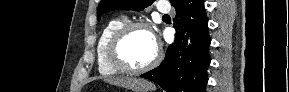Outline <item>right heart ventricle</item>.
<instances>
[{
  "label": "right heart ventricle",
  "mask_w": 289,
  "mask_h": 92,
  "mask_svg": "<svg viewBox=\"0 0 289 92\" xmlns=\"http://www.w3.org/2000/svg\"><path fill=\"white\" fill-rule=\"evenodd\" d=\"M124 17L111 19L102 29L96 47L97 67L101 75L112 76L119 74L121 71L114 68L107 57V46L114 32L126 23Z\"/></svg>",
  "instance_id": "right-heart-ventricle-1"
}]
</instances>
